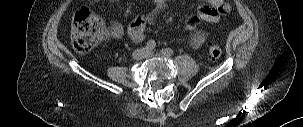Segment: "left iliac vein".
<instances>
[{"mask_svg": "<svg viewBox=\"0 0 303 127\" xmlns=\"http://www.w3.org/2000/svg\"><path fill=\"white\" fill-rule=\"evenodd\" d=\"M155 55H157V54H155V53L152 52V51H150V52L147 53V56H148V57H152V56H155Z\"/></svg>", "mask_w": 303, "mask_h": 127, "instance_id": "1", "label": "left iliac vein"}]
</instances>
